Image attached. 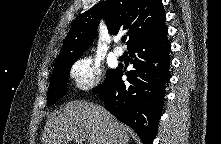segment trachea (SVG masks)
I'll use <instances>...</instances> for the list:
<instances>
[{"mask_svg":"<svg viewBox=\"0 0 221 144\" xmlns=\"http://www.w3.org/2000/svg\"><path fill=\"white\" fill-rule=\"evenodd\" d=\"M121 40L124 43L126 41V36H123Z\"/></svg>","mask_w":221,"mask_h":144,"instance_id":"3493384b","label":"trachea"}]
</instances>
